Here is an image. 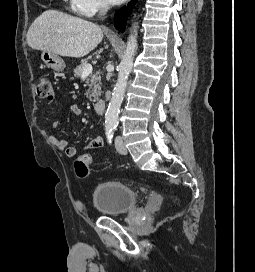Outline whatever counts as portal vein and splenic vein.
<instances>
[{
    "label": "portal vein and splenic vein",
    "instance_id": "obj_1",
    "mask_svg": "<svg viewBox=\"0 0 255 272\" xmlns=\"http://www.w3.org/2000/svg\"><path fill=\"white\" fill-rule=\"evenodd\" d=\"M91 72H92V65L87 64L83 69L82 75H88Z\"/></svg>",
    "mask_w": 255,
    "mask_h": 272
}]
</instances>
